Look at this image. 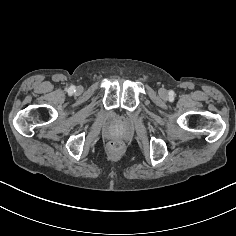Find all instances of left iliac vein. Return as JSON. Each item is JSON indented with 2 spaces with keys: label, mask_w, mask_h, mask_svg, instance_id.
Listing matches in <instances>:
<instances>
[{
  "label": "left iliac vein",
  "mask_w": 236,
  "mask_h": 236,
  "mask_svg": "<svg viewBox=\"0 0 236 236\" xmlns=\"http://www.w3.org/2000/svg\"><path fill=\"white\" fill-rule=\"evenodd\" d=\"M158 93L163 98L167 96V90L165 88H160Z\"/></svg>",
  "instance_id": "1"
}]
</instances>
